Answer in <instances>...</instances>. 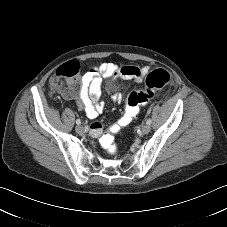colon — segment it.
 Returning a JSON list of instances; mask_svg holds the SVG:
<instances>
[{
    "instance_id": "colon-1",
    "label": "colon",
    "mask_w": 227,
    "mask_h": 227,
    "mask_svg": "<svg viewBox=\"0 0 227 227\" xmlns=\"http://www.w3.org/2000/svg\"><path fill=\"white\" fill-rule=\"evenodd\" d=\"M81 74V66L77 62L66 63L57 73L55 80L50 82L53 93L59 92L68 96H74L78 87V80ZM126 76L135 78L141 76L137 68L124 71ZM171 82V74L165 69H156L147 74L145 88L132 92L126 101L124 112L118 119L114 128L106 134L99 135V141L103 149L110 153L119 150L115 134L127 126L139 113L140 108L145 105L157 91Z\"/></svg>"
}]
</instances>
